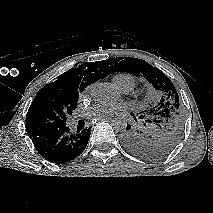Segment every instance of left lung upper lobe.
Wrapping results in <instances>:
<instances>
[{
    "mask_svg": "<svg viewBox=\"0 0 213 213\" xmlns=\"http://www.w3.org/2000/svg\"><path fill=\"white\" fill-rule=\"evenodd\" d=\"M103 68L108 74L123 71L143 77L161 94L156 105L141 112L139 119L142 123L138 128L132 129L127 124V132L123 135L125 147L146 159H158L170 153L181 139L184 125V109L170 79L158 68L138 58H111L103 61Z\"/></svg>",
    "mask_w": 213,
    "mask_h": 213,
    "instance_id": "obj_1",
    "label": "left lung upper lobe"
}]
</instances>
